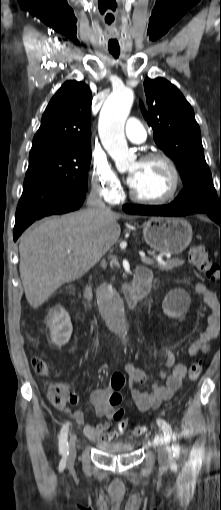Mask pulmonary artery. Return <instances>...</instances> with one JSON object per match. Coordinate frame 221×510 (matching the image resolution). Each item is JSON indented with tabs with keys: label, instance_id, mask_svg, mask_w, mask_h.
I'll return each instance as SVG.
<instances>
[{
	"label": "pulmonary artery",
	"instance_id": "obj_1",
	"mask_svg": "<svg viewBox=\"0 0 221 510\" xmlns=\"http://www.w3.org/2000/svg\"><path fill=\"white\" fill-rule=\"evenodd\" d=\"M127 138L134 143H142L146 140V130L143 124L134 117L127 120L125 126Z\"/></svg>",
	"mask_w": 221,
	"mask_h": 510
}]
</instances>
